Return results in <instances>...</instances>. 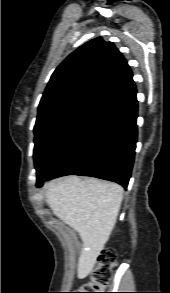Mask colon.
Masks as SVG:
<instances>
[{
    "label": "colon",
    "mask_w": 170,
    "mask_h": 293,
    "mask_svg": "<svg viewBox=\"0 0 170 293\" xmlns=\"http://www.w3.org/2000/svg\"><path fill=\"white\" fill-rule=\"evenodd\" d=\"M116 251L103 249L90 270L88 278L75 287L71 293H100L111 281L112 268L116 264Z\"/></svg>",
    "instance_id": "5ec220e1"
}]
</instances>
